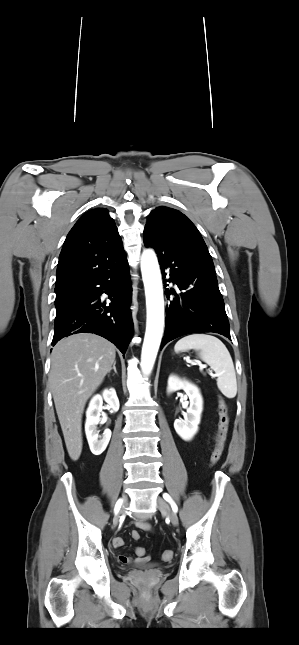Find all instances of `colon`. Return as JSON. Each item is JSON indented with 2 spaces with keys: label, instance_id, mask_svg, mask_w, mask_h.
I'll return each mask as SVG.
<instances>
[{
  "label": "colon",
  "instance_id": "obj_1",
  "mask_svg": "<svg viewBox=\"0 0 299 645\" xmlns=\"http://www.w3.org/2000/svg\"><path fill=\"white\" fill-rule=\"evenodd\" d=\"M218 414H219L218 435H217L215 448L210 457L211 466L216 465L222 455L225 440H226L227 430H228V424H229L228 407L225 400L222 398H220L218 401ZM132 538L134 540H138L140 538V534L137 531H133ZM136 554L138 557L143 558L145 557L146 551L143 547H138L136 549ZM162 558L166 561L171 560L173 558V552L171 550H165L162 553Z\"/></svg>",
  "mask_w": 299,
  "mask_h": 645
}]
</instances>
